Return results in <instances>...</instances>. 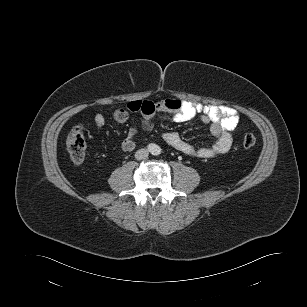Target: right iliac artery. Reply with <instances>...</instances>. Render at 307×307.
I'll use <instances>...</instances> for the list:
<instances>
[{"instance_id":"right-iliac-artery-1","label":"right iliac artery","mask_w":307,"mask_h":307,"mask_svg":"<svg viewBox=\"0 0 307 307\" xmlns=\"http://www.w3.org/2000/svg\"><path fill=\"white\" fill-rule=\"evenodd\" d=\"M148 148L150 149V148H151V145H149Z\"/></svg>"}]
</instances>
